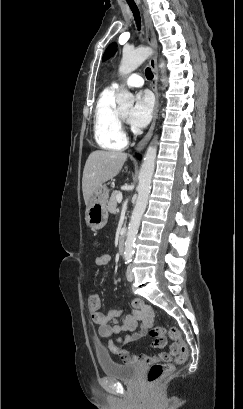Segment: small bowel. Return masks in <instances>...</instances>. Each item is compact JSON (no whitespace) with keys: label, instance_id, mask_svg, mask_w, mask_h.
I'll use <instances>...</instances> for the list:
<instances>
[{"label":"small bowel","instance_id":"c3829d8e","mask_svg":"<svg viewBox=\"0 0 243 409\" xmlns=\"http://www.w3.org/2000/svg\"><path fill=\"white\" fill-rule=\"evenodd\" d=\"M111 261L109 254H101L96 262L98 265H108ZM91 311V320L98 327L101 337L110 338L122 332L123 337L112 339L108 343L110 352L117 355L127 364H137L140 362H165L171 361L176 355V348H171L167 352H160L156 355L135 354L125 347L150 333L151 324L154 320L153 308L142 299L136 298L131 302L127 313L123 309H110L107 313ZM167 340H153L151 347L159 349L166 345Z\"/></svg>","mask_w":243,"mask_h":409}]
</instances>
